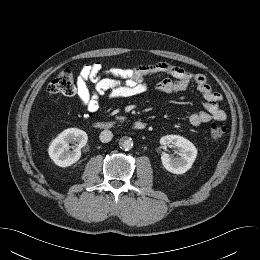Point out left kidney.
<instances>
[{
  "instance_id": "1",
  "label": "left kidney",
  "mask_w": 260,
  "mask_h": 260,
  "mask_svg": "<svg viewBox=\"0 0 260 260\" xmlns=\"http://www.w3.org/2000/svg\"><path fill=\"white\" fill-rule=\"evenodd\" d=\"M163 146L173 145L180 149L179 156L172 158L167 153H163L161 161L164 168L174 174H183L188 171L197 156V149L192 142L179 135H167L160 139Z\"/></svg>"
}]
</instances>
